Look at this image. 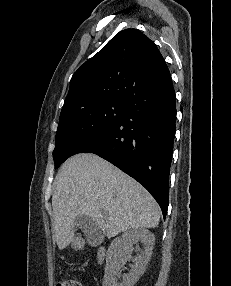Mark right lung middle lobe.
<instances>
[{
  "instance_id": "right-lung-middle-lobe-1",
  "label": "right lung middle lobe",
  "mask_w": 231,
  "mask_h": 286,
  "mask_svg": "<svg viewBox=\"0 0 231 286\" xmlns=\"http://www.w3.org/2000/svg\"><path fill=\"white\" fill-rule=\"evenodd\" d=\"M125 102L105 101L60 117L53 152L55 169L98 138L125 113Z\"/></svg>"
}]
</instances>
